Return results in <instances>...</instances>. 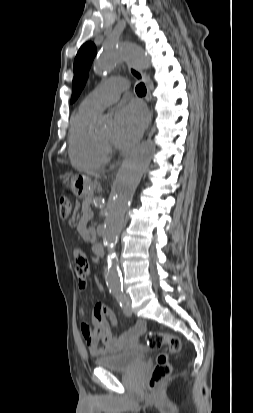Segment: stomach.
I'll list each match as a JSON object with an SVG mask.
<instances>
[{"label": "stomach", "mask_w": 253, "mask_h": 413, "mask_svg": "<svg viewBox=\"0 0 253 413\" xmlns=\"http://www.w3.org/2000/svg\"><path fill=\"white\" fill-rule=\"evenodd\" d=\"M70 187L76 197L84 198L90 193L91 180L86 175L76 174L70 180Z\"/></svg>", "instance_id": "obj_1"}]
</instances>
